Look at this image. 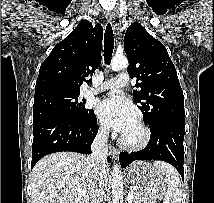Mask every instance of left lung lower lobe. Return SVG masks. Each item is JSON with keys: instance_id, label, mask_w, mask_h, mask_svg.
I'll return each instance as SVG.
<instances>
[{"instance_id": "1", "label": "left lung lower lobe", "mask_w": 214, "mask_h": 203, "mask_svg": "<svg viewBox=\"0 0 214 203\" xmlns=\"http://www.w3.org/2000/svg\"><path fill=\"white\" fill-rule=\"evenodd\" d=\"M185 117H165L150 127V141L145 149L137 152H121L123 168L136 160H161L174 166L184 179V134Z\"/></svg>"}]
</instances>
